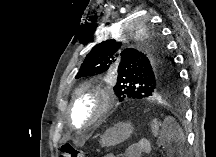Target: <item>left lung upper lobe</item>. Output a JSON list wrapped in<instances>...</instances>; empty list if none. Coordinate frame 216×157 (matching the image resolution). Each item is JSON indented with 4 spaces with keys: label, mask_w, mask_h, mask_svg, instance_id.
Segmentation results:
<instances>
[{
    "label": "left lung upper lobe",
    "mask_w": 216,
    "mask_h": 157,
    "mask_svg": "<svg viewBox=\"0 0 216 157\" xmlns=\"http://www.w3.org/2000/svg\"><path fill=\"white\" fill-rule=\"evenodd\" d=\"M131 27H115L120 35L95 45L87 54L76 79L110 71L118 74L114 92L119 101L177 97L180 76L155 23L139 19Z\"/></svg>",
    "instance_id": "obj_1"
}]
</instances>
